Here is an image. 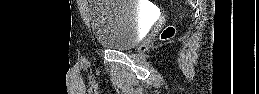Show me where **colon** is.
<instances>
[{"label": "colon", "mask_w": 259, "mask_h": 94, "mask_svg": "<svg viewBox=\"0 0 259 94\" xmlns=\"http://www.w3.org/2000/svg\"><path fill=\"white\" fill-rule=\"evenodd\" d=\"M174 33V29L172 27H168L167 29H165V31L162 34L163 38H169L173 35Z\"/></svg>", "instance_id": "colon-1"}]
</instances>
